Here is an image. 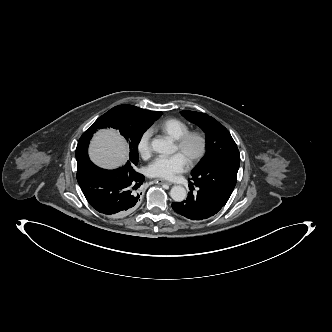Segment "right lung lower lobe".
<instances>
[{
    "mask_svg": "<svg viewBox=\"0 0 332 332\" xmlns=\"http://www.w3.org/2000/svg\"><path fill=\"white\" fill-rule=\"evenodd\" d=\"M77 181L89 204L102 214L121 217L133 212L140 204L141 194L136 192L144 176L124 167L102 169L90 160L78 169Z\"/></svg>",
    "mask_w": 332,
    "mask_h": 332,
    "instance_id": "98d812e1",
    "label": "right lung lower lobe"
}]
</instances>
